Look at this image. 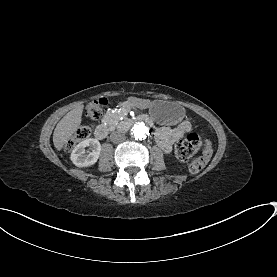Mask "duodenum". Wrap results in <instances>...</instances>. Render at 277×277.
Returning <instances> with one entry per match:
<instances>
[{
    "label": "duodenum",
    "mask_w": 277,
    "mask_h": 277,
    "mask_svg": "<svg viewBox=\"0 0 277 277\" xmlns=\"http://www.w3.org/2000/svg\"><path fill=\"white\" fill-rule=\"evenodd\" d=\"M137 121H145V122L149 123L150 125L153 124L151 119L147 116L132 117V118H127V119L123 120L119 124V129L126 130ZM108 133H109V127L107 125H103V124L99 125L95 130V136L98 139H104L108 135Z\"/></svg>",
    "instance_id": "obj_1"
}]
</instances>
